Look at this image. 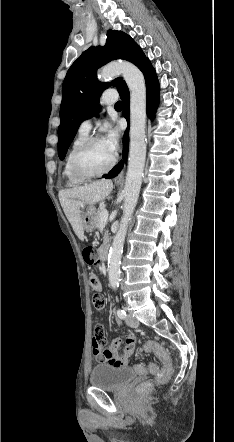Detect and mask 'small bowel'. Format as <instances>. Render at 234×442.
<instances>
[{"label":"small bowel","mask_w":234,"mask_h":442,"mask_svg":"<svg viewBox=\"0 0 234 442\" xmlns=\"http://www.w3.org/2000/svg\"><path fill=\"white\" fill-rule=\"evenodd\" d=\"M97 291L101 292L102 285L98 279L96 287ZM104 325L98 322L93 327L94 336L92 338V352L101 362L99 368L103 370L121 369L122 366H127L128 359L135 350L136 340L134 336H128L125 339L117 338L112 344L106 347V338L104 337ZM125 341V347L122 353L118 352L120 344Z\"/></svg>","instance_id":"c3829d8e"}]
</instances>
